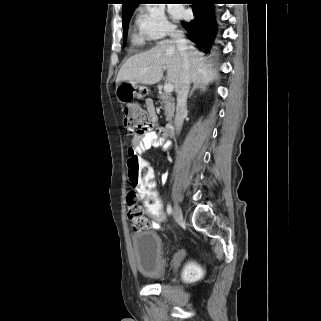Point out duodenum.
<instances>
[{"label":"duodenum","mask_w":321,"mask_h":321,"mask_svg":"<svg viewBox=\"0 0 321 321\" xmlns=\"http://www.w3.org/2000/svg\"><path fill=\"white\" fill-rule=\"evenodd\" d=\"M174 127L171 123L167 124L164 128V133L167 136H171L173 134Z\"/></svg>","instance_id":"410a0bca"}]
</instances>
